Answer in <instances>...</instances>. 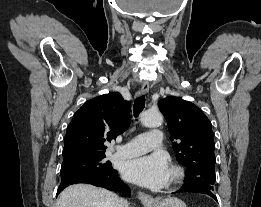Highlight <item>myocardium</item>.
Listing matches in <instances>:
<instances>
[{
    "instance_id": "1",
    "label": "myocardium",
    "mask_w": 261,
    "mask_h": 207,
    "mask_svg": "<svg viewBox=\"0 0 261 207\" xmlns=\"http://www.w3.org/2000/svg\"><path fill=\"white\" fill-rule=\"evenodd\" d=\"M170 178L165 184V189L171 190L180 185L184 179V171L180 166L172 165L169 169Z\"/></svg>"
}]
</instances>
